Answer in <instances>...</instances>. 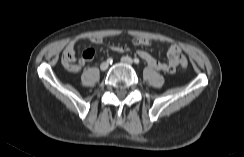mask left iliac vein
<instances>
[{"label": "left iliac vein", "mask_w": 244, "mask_h": 157, "mask_svg": "<svg viewBox=\"0 0 244 157\" xmlns=\"http://www.w3.org/2000/svg\"><path fill=\"white\" fill-rule=\"evenodd\" d=\"M121 61H122V63H124V64H128V65H132V64H133V60H132V58L129 57V56H124V57H122V58H121Z\"/></svg>", "instance_id": "4c4485c4"}]
</instances>
